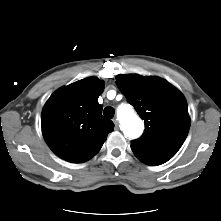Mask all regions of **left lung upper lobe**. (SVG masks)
Masks as SVG:
<instances>
[{"mask_svg":"<svg viewBox=\"0 0 221 221\" xmlns=\"http://www.w3.org/2000/svg\"><path fill=\"white\" fill-rule=\"evenodd\" d=\"M116 84L146 127L145 133L131 142L133 153L145 164L165 163L180 149L190 128L186 99L159 77L118 75Z\"/></svg>","mask_w":221,"mask_h":221,"instance_id":"obj_1","label":"left lung upper lobe"}]
</instances>
